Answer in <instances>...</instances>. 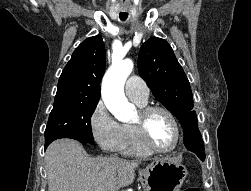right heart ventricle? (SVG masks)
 Here are the masks:
<instances>
[{"mask_svg":"<svg viewBox=\"0 0 251 191\" xmlns=\"http://www.w3.org/2000/svg\"><path fill=\"white\" fill-rule=\"evenodd\" d=\"M139 105H145L146 101H136ZM123 127V141L120 151L124 154L135 157H149L152 152L143 146L140 142L136 130L132 125L124 124Z\"/></svg>","mask_w":251,"mask_h":191,"instance_id":"e07e8e85","label":"right heart ventricle"}]
</instances>
